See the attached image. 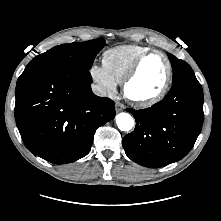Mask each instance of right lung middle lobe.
<instances>
[{"instance_id":"1","label":"right lung middle lobe","mask_w":221,"mask_h":221,"mask_svg":"<svg viewBox=\"0 0 221 221\" xmlns=\"http://www.w3.org/2000/svg\"><path fill=\"white\" fill-rule=\"evenodd\" d=\"M104 45L103 39L62 44L36 56L28 65L63 64L89 70Z\"/></svg>"}]
</instances>
